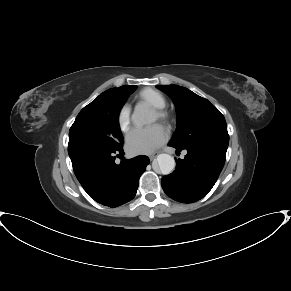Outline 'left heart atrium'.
I'll return each mask as SVG.
<instances>
[{
    "label": "left heart atrium",
    "mask_w": 291,
    "mask_h": 291,
    "mask_svg": "<svg viewBox=\"0 0 291 291\" xmlns=\"http://www.w3.org/2000/svg\"><path fill=\"white\" fill-rule=\"evenodd\" d=\"M167 134L156 124L146 128L133 129L127 135L126 148L130 154H149L164 144Z\"/></svg>",
    "instance_id": "1"
}]
</instances>
